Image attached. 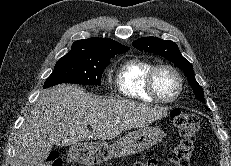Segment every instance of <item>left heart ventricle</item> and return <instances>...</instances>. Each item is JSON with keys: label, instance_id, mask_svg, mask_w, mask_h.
Returning a JSON list of instances; mask_svg holds the SVG:
<instances>
[{"label": "left heart ventricle", "instance_id": "1", "mask_svg": "<svg viewBox=\"0 0 231 166\" xmlns=\"http://www.w3.org/2000/svg\"><path fill=\"white\" fill-rule=\"evenodd\" d=\"M155 86L160 95L170 98L175 95L178 89V81L172 72L161 69L156 74Z\"/></svg>", "mask_w": 231, "mask_h": 166}]
</instances>
